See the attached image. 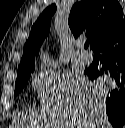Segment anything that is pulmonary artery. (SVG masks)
<instances>
[{
    "instance_id": "pulmonary-artery-1",
    "label": "pulmonary artery",
    "mask_w": 125,
    "mask_h": 128,
    "mask_svg": "<svg viewBox=\"0 0 125 128\" xmlns=\"http://www.w3.org/2000/svg\"><path fill=\"white\" fill-rule=\"evenodd\" d=\"M79 55H78V61L80 63H83V64H88L91 62V56L89 54H87L85 51H84V47H83V44L81 43L79 46Z\"/></svg>"
}]
</instances>
